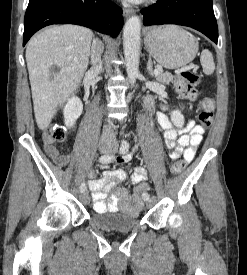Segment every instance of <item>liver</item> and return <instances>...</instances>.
Instances as JSON below:
<instances>
[{"label": "liver", "mask_w": 247, "mask_h": 275, "mask_svg": "<svg viewBox=\"0 0 247 275\" xmlns=\"http://www.w3.org/2000/svg\"><path fill=\"white\" fill-rule=\"evenodd\" d=\"M93 33L78 25L51 26L28 43L26 61L36 123L46 129L88 67ZM55 68V73L51 69Z\"/></svg>", "instance_id": "liver-1"}]
</instances>
